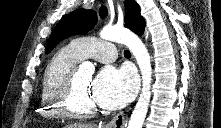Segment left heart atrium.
<instances>
[{
    "label": "left heart atrium",
    "instance_id": "1",
    "mask_svg": "<svg viewBox=\"0 0 221 128\" xmlns=\"http://www.w3.org/2000/svg\"><path fill=\"white\" fill-rule=\"evenodd\" d=\"M137 86L133 72L106 66L91 82L89 92L95 105L105 110H117L134 98Z\"/></svg>",
    "mask_w": 221,
    "mask_h": 128
}]
</instances>
